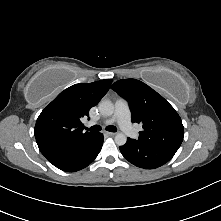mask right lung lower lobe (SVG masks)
I'll return each instance as SVG.
<instances>
[{
    "label": "right lung lower lobe",
    "mask_w": 221,
    "mask_h": 221,
    "mask_svg": "<svg viewBox=\"0 0 221 221\" xmlns=\"http://www.w3.org/2000/svg\"><path fill=\"white\" fill-rule=\"evenodd\" d=\"M103 138L102 133H96L72 148L65 158L54 166L66 172H76L87 167L99 154Z\"/></svg>",
    "instance_id": "1"
}]
</instances>
